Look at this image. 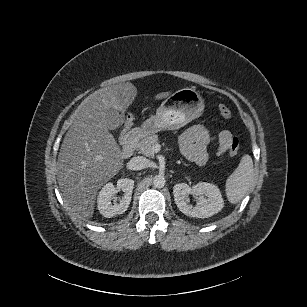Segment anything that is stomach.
<instances>
[{"label":"stomach","instance_id":"stomach-1","mask_svg":"<svg viewBox=\"0 0 307 307\" xmlns=\"http://www.w3.org/2000/svg\"><path fill=\"white\" fill-rule=\"evenodd\" d=\"M204 108V99L196 90L183 88L169 95L142 128L148 133L177 130L200 117Z\"/></svg>","mask_w":307,"mask_h":307}]
</instances>
